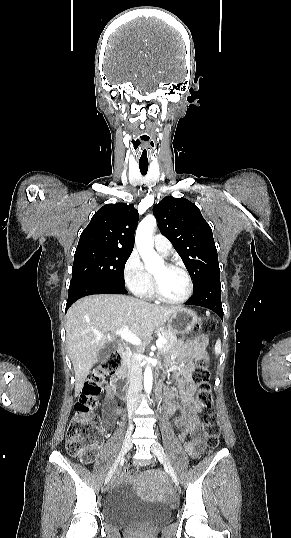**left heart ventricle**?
<instances>
[{
    "instance_id": "1",
    "label": "left heart ventricle",
    "mask_w": 291,
    "mask_h": 538,
    "mask_svg": "<svg viewBox=\"0 0 291 538\" xmlns=\"http://www.w3.org/2000/svg\"><path fill=\"white\" fill-rule=\"evenodd\" d=\"M152 275L157 279L163 295L170 299H179L187 291V280L184 274L177 269H169L161 263L152 271Z\"/></svg>"
}]
</instances>
